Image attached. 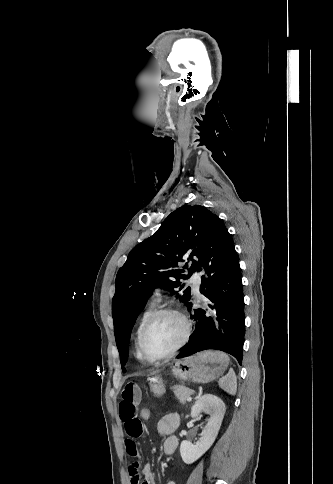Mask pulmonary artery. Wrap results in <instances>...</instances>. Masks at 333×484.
Listing matches in <instances>:
<instances>
[{"instance_id":"1","label":"pulmonary artery","mask_w":333,"mask_h":484,"mask_svg":"<svg viewBox=\"0 0 333 484\" xmlns=\"http://www.w3.org/2000/svg\"><path fill=\"white\" fill-rule=\"evenodd\" d=\"M190 282L193 286L195 293H198L199 287H200V284H201V278H200L199 274H194L191 277ZM159 296H160V290L157 289V290L154 291L153 297L155 299H158Z\"/></svg>"}]
</instances>
